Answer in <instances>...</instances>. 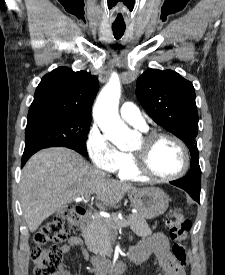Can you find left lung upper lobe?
<instances>
[{
	"label": "left lung upper lobe",
	"instance_id": "left-lung-upper-lobe-1",
	"mask_svg": "<svg viewBox=\"0 0 225 275\" xmlns=\"http://www.w3.org/2000/svg\"><path fill=\"white\" fill-rule=\"evenodd\" d=\"M136 93L151 118L190 149L189 172L201 173L195 141L198 113L192 83L172 70L149 69L138 78Z\"/></svg>",
	"mask_w": 225,
	"mask_h": 275
}]
</instances>
